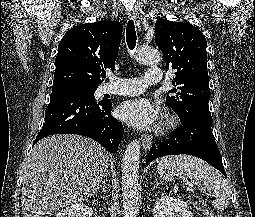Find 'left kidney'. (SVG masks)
I'll return each instance as SVG.
<instances>
[{
  "mask_svg": "<svg viewBox=\"0 0 255 217\" xmlns=\"http://www.w3.org/2000/svg\"><path fill=\"white\" fill-rule=\"evenodd\" d=\"M153 217H193V214L181 198L162 194L155 203Z\"/></svg>",
  "mask_w": 255,
  "mask_h": 217,
  "instance_id": "5707ae66",
  "label": "left kidney"
}]
</instances>
